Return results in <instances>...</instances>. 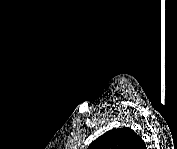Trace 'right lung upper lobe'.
<instances>
[{
    "label": "right lung upper lobe",
    "mask_w": 177,
    "mask_h": 149,
    "mask_svg": "<svg viewBox=\"0 0 177 149\" xmlns=\"http://www.w3.org/2000/svg\"><path fill=\"white\" fill-rule=\"evenodd\" d=\"M144 141L130 128L109 130L93 141L89 149H139Z\"/></svg>",
    "instance_id": "right-lung-upper-lobe-1"
}]
</instances>
